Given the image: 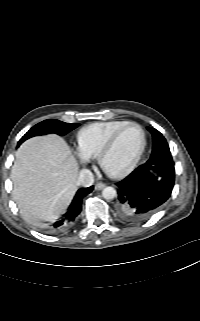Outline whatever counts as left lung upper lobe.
Returning <instances> with one entry per match:
<instances>
[{
    "mask_svg": "<svg viewBox=\"0 0 200 321\" xmlns=\"http://www.w3.org/2000/svg\"><path fill=\"white\" fill-rule=\"evenodd\" d=\"M153 136V150L146 163L162 162L172 160L169 146L163 135L156 129L148 127Z\"/></svg>",
    "mask_w": 200,
    "mask_h": 321,
    "instance_id": "1",
    "label": "left lung upper lobe"
}]
</instances>
